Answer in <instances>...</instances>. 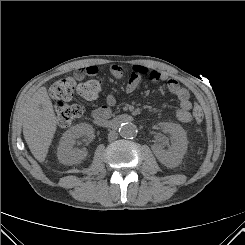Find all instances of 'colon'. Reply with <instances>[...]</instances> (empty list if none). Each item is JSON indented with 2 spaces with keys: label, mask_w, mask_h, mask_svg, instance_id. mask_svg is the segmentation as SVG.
<instances>
[{
  "label": "colon",
  "mask_w": 245,
  "mask_h": 245,
  "mask_svg": "<svg viewBox=\"0 0 245 245\" xmlns=\"http://www.w3.org/2000/svg\"><path fill=\"white\" fill-rule=\"evenodd\" d=\"M103 84L101 80L89 79L79 85H76L74 78L65 76L56 81L50 90L51 96L57 101L55 104V112L58 123L61 126H68L77 120L82 109L79 105L70 104L68 101L73 97L75 92L87 100H93L102 92ZM193 116L198 123L203 121V112L199 105H195Z\"/></svg>",
  "instance_id": "5ec220e1"
}]
</instances>
